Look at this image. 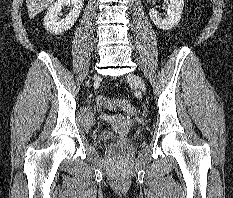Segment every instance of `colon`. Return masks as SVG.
I'll return each instance as SVG.
<instances>
[{
	"instance_id": "colon-1",
	"label": "colon",
	"mask_w": 233,
	"mask_h": 198,
	"mask_svg": "<svg viewBox=\"0 0 233 198\" xmlns=\"http://www.w3.org/2000/svg\"><path fill=\"white\" fill-rule=\"evenodd\" d=\"M97 105L110 110H119L127 116H132L136 113L135 106L127 98H108L106 96H99L97 98Z\"/></svg>"
}]
</instances>
